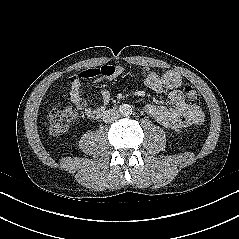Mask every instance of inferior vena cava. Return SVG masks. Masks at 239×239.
Listing matches in <instances>:
<instances>
[{
    "mask_svg": "<svg viewBox=\"0 0 239 239\" xmlns=\"http://www.w3.org/2000/svg\"><path fill=\"white\" fill-rule=\"evenodd\" d=\"M119 118V113L115 109H109L103 115V121L105 123H112Z\"/></svg>",
    "mask_w": 239,
    "mask_h": 239,
    "instance_id": "obj_1",
    "label": "inferior vena cava"
}]
</instances>
